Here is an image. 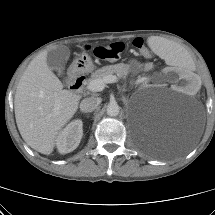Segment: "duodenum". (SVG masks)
I'll return each instance as SVG.
<instances>
[{"mask_svg":"<svg viewBox=\"0 0 215 215\" xmlns=\"http://www.w3.org/2000/svg\"><path fill=\"white\" fill-rule=\"evenodd\" d=\"M85 77L76 69H71L69 73V85L75 91H80L84 84Z\"/></svg>","mask_w":215,"mask_h":215,"instance_id":"410a0bca","label":"duodenum"}]
</instances>
